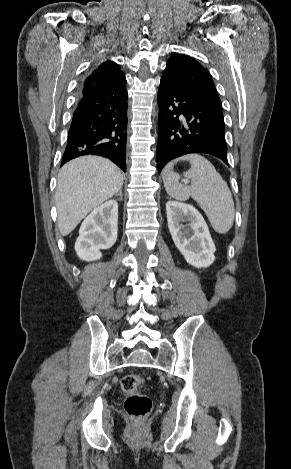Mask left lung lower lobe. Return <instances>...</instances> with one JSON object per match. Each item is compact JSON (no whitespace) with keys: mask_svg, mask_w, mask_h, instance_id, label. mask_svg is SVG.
Returning <instances> with one entry per match:
<instances>
[{"mask_svg":"<svg viewBox=\"0 0 291 469\" xmlns=\"http://www.w3.org/2000/svg\"><path fill=\"white\" fill-rule=\"evenodd\" d=\"M157 168L189 153H207L228 165L221 104L162 76L158 91Z\"/></svg>","mask_w":291,"mask_h":469,"instance_id":"obj_1","label":"left lung lower lobe"}]
</instances>
